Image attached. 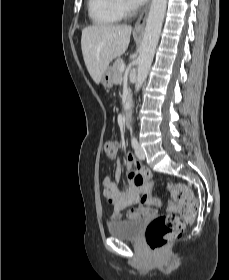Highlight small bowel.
Listing matches in <instances>:
<instances>
[{
    "instance_id": "c3829d8e",
    "label": "small bowel",
    "mask_w": 229,
    "mask_h": 280,
    "mask_svg": "<svg viewBox=\"0 0 229 280\" xmlns=\"http://www.w3.org/2000/svg\"><path fill=\"white\" fill-rule=\"evenodd\" d=\"M115 167V181L110 177H106L103 181V195L113 207L112 219H118L122 216L123 210L131 205L136 207L127 213L129 218H151L156 214L155 207L151 204L154 199L151 196L152 183L144 182L137 185L134 178L139 173L131 171V167L135 166L139 172L144 173L142 162L138 160L132 153L126 156V176L128 184L122 186L119 182L122 178L123 170L117 157Z\"/></svg>"
}]
</instances>
